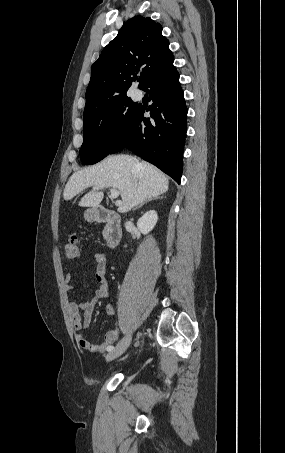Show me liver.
I'll list each match as a JSON object with an SVG mask.
<instances>
[{"instance_id": "obj_1", "label": "liver", "mask_w": 285, "mask_h": 453, "mask_svg": "<svg viewBox=\"0 0 285 453\" xmlns=\"http://www.w3.org/2000/svg\"><path fill=\"white\" fill-rule=\"evenodd\" d=\"M168 177L152 164L138 158L120 154L108 156L100 163L75 172L68 180L63 197L73 199L88 187L92 190L79 202L81 207H97L102 199V190L116 188L121 194L120 213L151 197H157L168 190Z\"/></svg>"}]
</instances>
